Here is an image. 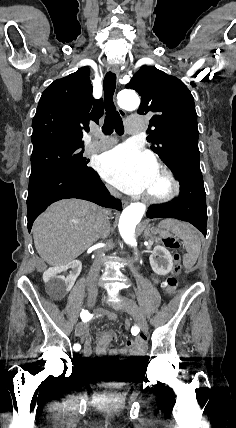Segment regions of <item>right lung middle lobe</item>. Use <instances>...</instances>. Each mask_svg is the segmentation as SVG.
Listing matches in <instances>:
<instances>
[{
  "label": "right lung middle lobe",
  "instance_id": "obj_1",
  "mask_svg": "<svg viewBox=\"0 0 236 428\" xmlns=\"http://www.w3.org/2000/svg\"><path fill=\"white\" fill-rule=\"evenodd\" d=\"M84 141H54L33 147L30 179L58 170L82 171L88 159L83 157Z\"/></svg>",
  "mask_w": 236,
  "mask_h": 428
}]
</instances>
